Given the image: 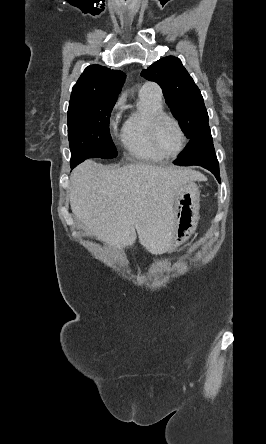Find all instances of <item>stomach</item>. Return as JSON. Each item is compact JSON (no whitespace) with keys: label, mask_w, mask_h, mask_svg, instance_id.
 <instances>
[{"label":"stomach","mask_w":266,"mask_h":444,"mask_svg":"<svg viewBox=\"0 0 266 444\" xmlns=\"http://www.w3.org/2000/svg\"><path fill=\"white\" fill-rule=\"evenodd\" d=\"M200 191L198 186L189 181L182 184L173 197L172 242L175 245L186 239L195 229L199 217Z\"/></svg>","instance_id":"1"}]
</instances>
